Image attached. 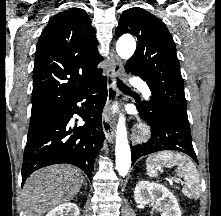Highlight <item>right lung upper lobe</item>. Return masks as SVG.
Here are the masks:
<instances>
[{
  "instance_id": "1",
  "label": "right lung upper lobe",
  "mask_w": 221,
  "mask_h": 216,
  "mask_svg": "<svg viewBox=\"0 0 221 216\" xmlns=\"http://www.w3.org/2000/svg\"><path fill=\"white\" fill-rule=\"evenodd\" d=\"M95 29L87 13L72 8L56 14L43 30L35 53L31 115L47 112L97 82Z\"/></svg>"
}]
</instances>
